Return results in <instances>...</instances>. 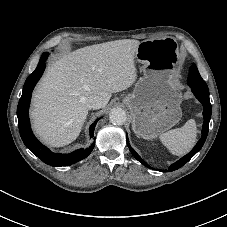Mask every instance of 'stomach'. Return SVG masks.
Segmentation results:
<instances>
[{"instance_id": "1", "label": "stomach", "mask_w": 227, "mask_h": 227, "mask_svg": "<svg viewBox=\"0 0 227 227\" xmlns=\"http://www.w3.org/2000/svg\"><path fill=\"white\" fill-rule=\"evenodd\" d=\"M135 58L143 65V76L123 102L131 112L135 134L153 139L181 119L182 96L174 80L181 56L176 46L163 40H145Z\"/></svg>"}]
</instances>
